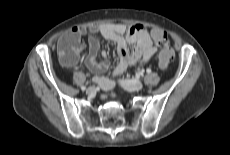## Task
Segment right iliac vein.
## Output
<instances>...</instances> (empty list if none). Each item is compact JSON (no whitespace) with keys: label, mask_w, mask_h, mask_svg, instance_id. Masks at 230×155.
<instances>
[{"label":"right iliac vein","mask_w":230,"mask_h":155,"mask_svg":"<svg viewBox=\"0 0 230 155\" xmlns=\"http://www.w3.org/2000/svg\"><path fill=\"white\" fill-rule=\"evenodd\" d=\"M94 91H95V88H94V87H88V88L86 89V93H87V94H92V93H94Z\"/></svg>","instance_id":"obj_1"}]
</instances>
